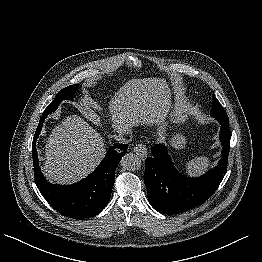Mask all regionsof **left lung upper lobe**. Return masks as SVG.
Wrapping results in <instances>:
<instances>
[{
    "label": "left lung upper lobe",
    "instance_id": "obj_1",
    "mask_svg": "<svg viewBox=\"0 0 262 262\" xmlns=\"http://www.w3.org/2000/svg\"><path fill=\"white\" fill-rule=\"evenodd\" d=\"M212 98H213V106H212L210 115L216 119L227 116L225 110L221 107L217 98L214 95L212 96Z\"/></svg>",
    "mask_w": 262,
    "mask_h": 262
}]
</instances>
